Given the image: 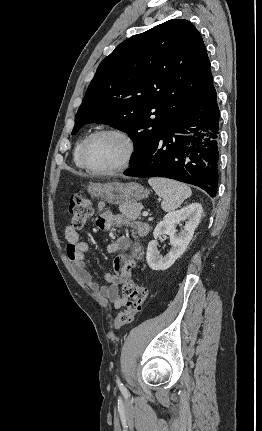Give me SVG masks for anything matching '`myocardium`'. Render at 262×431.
Listing matches in <instances>:
<instances>
[{
  "mask_svg": "<svg viewBox=\"0 0 262 431\" xmlns=\"http://www.w3.org/2000/svg\"><path fill=\"white\" fill-rule=\"evenodd\" d=\"M104 134H112V135H116L118 137H120L126 145V153L125 156L122 160V162L116 166L115 168L112 169H108V170H96L93 169L92 167L89 166V164L87 163V150L88 147L91 143V141L96 138L97 136L100 135H104ZM136 153V144L135 141L133 139V137L124 129L121 128H117V127H108V128H103L100 130H97L95 132H93L92 134H90L84 141L81 152H80V161L81 164L83 166V168L89 172L91 175L94 176H112V175H116L122 171H124L125 169H127L129 167V165L131 164L134 156Z\"/></svg>",
  "mask_w": 262,
  "mask_h": 431,
  "instance_id": "obj_1",
  "label": "myocardium"
}]
</instances>
